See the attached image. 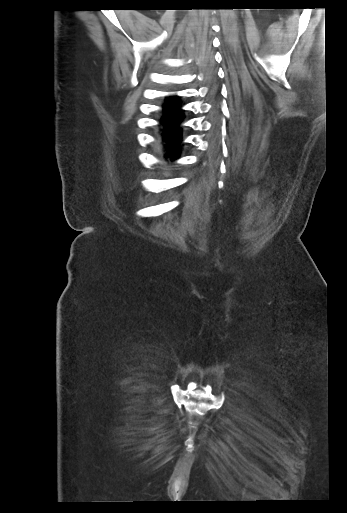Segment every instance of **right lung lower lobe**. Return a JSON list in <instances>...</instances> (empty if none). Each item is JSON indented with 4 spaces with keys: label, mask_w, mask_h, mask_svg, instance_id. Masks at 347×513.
Listing matches in <instances>:
<instances>
[{
    "label": "right lung lower lobe",
    "mask_w": 347,
    "mask_h": 513,
    "mask_svg": "<svg viewBox=\"0 0 347 513\" xmlns=\"http://www.w3.org/2000/svg\"><path fill=\"white\" fill-rule=\"evenodd\" d=\"M163 110L164 116L161 120L163 125L162 141L168 156L173 159L180 151L182 138L180 124L183 119V111L181 102L177 97H169L166 99Z\"/></svg>",
    "instance_id": "1"
}]
</instances>
